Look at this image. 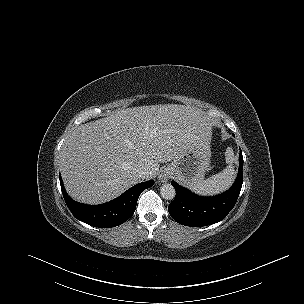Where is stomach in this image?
<instances>
[{
  "label": "stomach",
  "instance_id": "obj_1",
  "mask_svg": "<svg viewBox=\"0 0 304 304\" xmlns=\"http://www.w3.org/2000/svg\"><path fill=\"white\" fill-rule=\"evenodd\" d=\"M210 158L211 151L208 147L194 145L167 165L165 170L182 185L192 188L204 180Z\"/></svg>",
  "mask_w": 304,
  "mask_h": 304
}]
</instances>
